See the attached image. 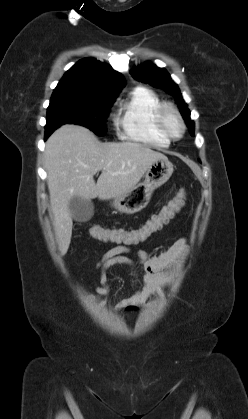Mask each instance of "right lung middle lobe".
Wrapping results in <instances>:
<instances>
[{"label": "right lung middle lobe", "mask_w": 248, "mask_h": 419, "mask_svg": "<svg viewBox=\"0 0 248 419\" xmlns=\"http://www.w3.org/2000/svg\"><path fill=\"white\" fill-rule=\"evenodd\" d=\"M115 98L54 90L47 109L45 130H55L61 125L75 123L103 136L106 133L104 122Z\"/></svg>", "instance_id": "1"}]
</instances>
